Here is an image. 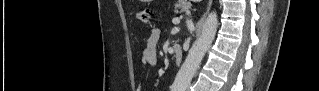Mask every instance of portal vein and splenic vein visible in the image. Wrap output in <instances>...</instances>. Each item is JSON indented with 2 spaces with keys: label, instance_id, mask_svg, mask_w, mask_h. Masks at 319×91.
I'll list each match as a JSON object with an SVG mask.
<instances>
[{
  "label": "portal vein and splenic vein",
  "instance_id": "1",
  "mask_svg": "<svg viewBox=\"0 0 319 91\" xmlns=\"http://www.w3.org/2000/svg\"><path fill=\"white\" fill-rule=\"evenodd\" d=\"M172 22H173L174 24H178V23H180V18H174V19L172 20Z\"/></svg>",
  "mask_w": 319,
  "mask_h": 91
}]
</instances>
